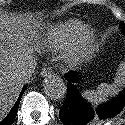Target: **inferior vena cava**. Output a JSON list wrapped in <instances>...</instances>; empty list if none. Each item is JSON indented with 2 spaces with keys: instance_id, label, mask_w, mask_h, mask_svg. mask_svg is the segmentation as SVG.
<instances>
[{
  "instance_id": "602c4592",
  "label": "inferior vena cava",
  "mask_w": 125,
  "mask_h": 125,
  "mask_svg": "<svg viewBox=\"0 0 125 125\" xmlns=\"http://www.w3.org/2000/svg\"><path fill=\"white\" fill-rule=\"evenodd\" d=\"M23 63H24V67L19 72L18 76L21 81H26L33 73L37 63L33 59H30L28 62L23 61Z\"/></svg>"
}]
</instances>
